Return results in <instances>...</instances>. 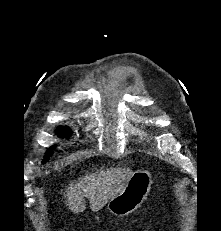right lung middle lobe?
Masks as SVG:
<instances>
[{
    "label": "right lung middle lobe",
    "instance_id": "1",
    "mask_svg": "<svg viewBox=\"0 0 221 231\" xmlns=\"http://www.w3.org/2000/svg\"><path fill=\"white\" fill-rule=\"evenodd\" d=\"M56 131L59 136H63V137L68 136V134L71 132L70 129L66 126H60L59 128H57ZM50 153H51V150H48L46 157H48Z\"/></svg>",
    "mask_w": 221,
    "mask_h": 231
}]
</instances>
